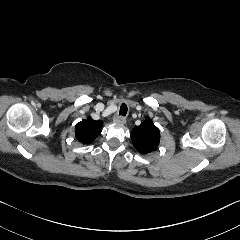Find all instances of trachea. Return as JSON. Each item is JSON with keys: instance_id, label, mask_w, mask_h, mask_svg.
Returning <instances> with one entry per match:
<instances>
[{"instance_id": "obj_1", "label": "trachea", "mask_w": 240, "mask_h": 240, "mask_svg": "<svg viewBox=\"0 0 240 240\" xmlns=\"http://www.w3.org/2000/svg\"><path fill=\"white\" fill-rule=\"evenodd\" d=\"M127 114V106L125 103H123L120 107L119 115L125 116Z\"/></svg>"}]
</instances>
